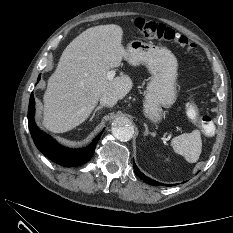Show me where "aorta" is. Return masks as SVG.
Here are the masks:
<instances>
[{"label":"aorta","mask_w":233,"mask_h":233,"mask_svg":"<svg viewBox=\"0 0 233 233\" xmlns=\"http://www.w3.org/2000/svg\"><path fill=\"white\" fill-rule=\"evenodd\" d=\"M112 134L120 141H129L134 134V128L127 117L119 116L112 123Z\"/></svg>","instance_id":"obj_1"}]
</instances>
